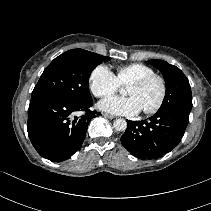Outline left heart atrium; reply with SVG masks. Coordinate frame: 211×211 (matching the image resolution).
Wrapping results in <instances>:
<instances>
[{"mask_svg":"<svg viewBox=\"0 0 211 211\" xmlns=\"http://www.w3.org/2000/svg\"><path fill=\"white\" fill-rule=\"evenodd\" d=\"M98 107L115 115L134 116L141 112V107L135 97H108L102 100Z\"/></svg>","mask_w":211,"mask_h":211,"instance_id":"1","label":"left heart atrium"}]
</instances>
